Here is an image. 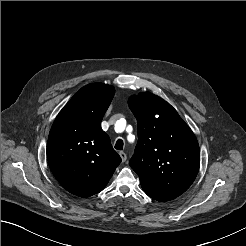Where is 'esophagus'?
<instances>
[{"mask_svg":"<svg viewBox=\"0 0 246 246\" xmlns=\"http://www.w3.org/2000/svg\"><path fill=\"white\" fill-rule=\"evenodd\" d=\"M119 155H120V157H121L122 162H125L126 159H127L126 153L123 152V151H120V152H119Z\"/></svg>","mask_w":246,"mask_h":246,"instance_id":"obj_1","label":"esophagus"}]
</instances>
